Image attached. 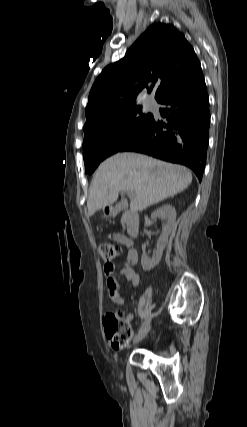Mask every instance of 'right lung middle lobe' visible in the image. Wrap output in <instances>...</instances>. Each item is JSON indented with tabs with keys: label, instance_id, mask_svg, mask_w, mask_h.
<instances>
[{
	"label": "right lung middle lobe",
	"instance_id": "dd1d6c3e",
	"mask_svg": "<svg viewBox=\"0 0 247 427\" xmlns=\"http://www.w3.org/2000/svg\"><path fill=\"white\" fill-rule=\"evenodd\" d=\"M153 119L141 106L119 112L113 119L84 129L85 173L91 174L101 161L137 139Z\"/></svg>",
	"mask_w": 247,
	"mask_h": 427
}]
</instances>
